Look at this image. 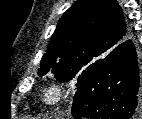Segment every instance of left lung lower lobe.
<instances>
[{
    "label": "left lung lower lobe",
    "instance_id": "obj_1",
    "mask_svg": "<svg viewBox=\"0 0 142 119\" xmlns=\"http://www.w3.org/2000/svg\"><path fill=\"white\" fill-rule=\"evenodd\" d=\"M71 114L75 119L141 117L139 68L131 40L117 45L79 85Z\"/></svg>",
    "mask_w": 142,
    "mask_h": 119
}]
</instances>
